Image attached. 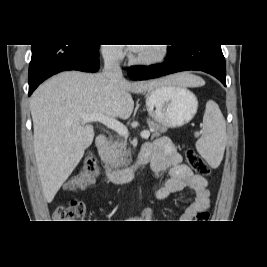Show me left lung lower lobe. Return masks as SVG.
<instances>
[{
    "label": "left lung lower lobe",
    "mask_w": 267,
    "mask_h": 267,
    "mask_svg": "<svg viewBox=\"0 0 267 267\" xmlns=\"http://www.w3.org/2000/svg\"><path fill=\"white\" fill-rule=\"evenodd\" d=\"M167 52V59L160 65L130 67L129 77L133 80H146L175 72L196 70L215 76L226 86L225 59L220 45L173 44Z\"/></svg>",
    "instance_id": "left-lung-lower-lobe-1"
}]
</instances>
